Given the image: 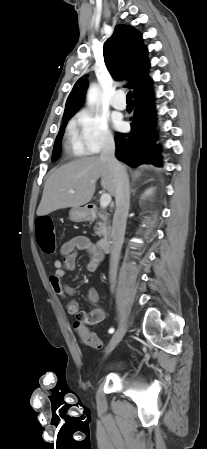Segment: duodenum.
Instances as JSON below:
<instances>
[{"label": "duodenum", "mask_w": 207, "mask_h": 449, "mask_svg": "<svg viewBox=\"0 0 207 449\" xmlns=\"http://www.w3.org/2000/svg\"><path fill=\"white\" fill-rule=\"evenodd\" d=\"M98 246L103 252H109L111 250V237L110 235H107L103 238H101L98 241Z\"/></svg>", "instance_id": "410a0bca"}]
</instances>
